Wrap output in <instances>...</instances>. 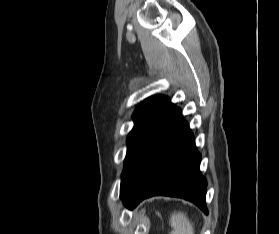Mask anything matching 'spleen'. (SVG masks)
<instances>
[{"label": "spleen", "mask_w": 279, "mask_h": 234, "mask_svg": "<svg viewBox=\"0 0 279 234\" xmlns=\"http://www.w3.org/2000/svg\"><path fill=\"white\" fill-rule=\"evenodd\" d=\"M170 225L172 227L170 234H194L193 224L182 212H175L171 215Z\"/></svg>", "instance_id": "spleen-1"}]
</instances>
